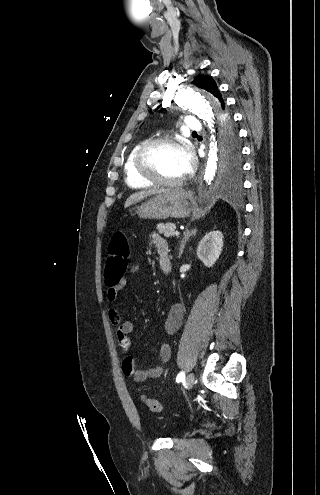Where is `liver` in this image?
<instances>
[{"instance_id": "6515ba94", "label": "liver", "mask_w": 320, "mask_h": 495, "mask_svg": "<svg viewBox=\"0 0 320 495\" xmlns=\"http://www.w3.org/2000/svg\"><path fill=\"white\" fill-rule=\"evenodd\" d=\"M162 192H164V191L153 189V190H146V191L134 193L130 197H128V199L126 200V202L124 204V207L127 208V207L143 200L146 197H149V196L155 195V194H160Z\"/></svg>"}]
</instances>
